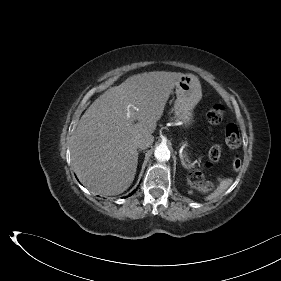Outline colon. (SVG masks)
I'll return each instance as SVG.
<instances>
[{
	"label": "colon",
	"instance_id": "5ec220e1",
	"mask_svg": "<svg viewBox=\"0 0 281 281\" xmlns=\"http://www.w3.org/2000/svg\"><path fill=\"white\" fill-rule=\"evenodd\" d=\"M225 114V109L221 104H216L212 106L206 114L207 120L212 124H219L222 122ZM225 142L226 145L231 149L239 148L241 144V138L239 134L238 127L235 124H228L225 128ZM222 154V148L220 145H214L210 148L208 152V164L216 163ZM233 169L238 170L241 166V159L239 156H235L233 159ZM191 182L196 186L204 187L205 189H210L211 185L205 183L201 173L194 171L190 175Z\"/></svg>",
	"mask_w": 281,
	"mask_h": 281
}]
</instances>
